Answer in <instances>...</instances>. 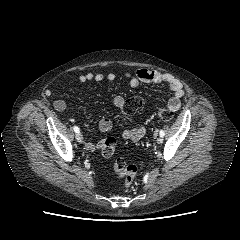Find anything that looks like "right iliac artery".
<instances>
[{"label":"right iliac artery","instance_id":"1","mask_svg":"<svg viewBox=\"0 0 240 240\" xmlns=\"http://www.w3.org/2000/svg\"><path fill=\"white\" fill-rule=\"evenodd\" d=\"M74 131L76 132V133H79L80 132V129L77 127V126H74Z\"/></svg>","mask_w":240,"mask_h":240}]
</instances>
